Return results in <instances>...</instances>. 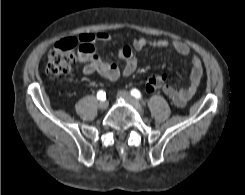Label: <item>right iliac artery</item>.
<instances>
[{"label":"right iliac artery","mask_w":245,"mask_h":195,"mask_svg":"<svg viewBox=\"0 0 245 195\" xmlns=\"http://www.w3.org/2000/svg\"><path fill=\"white\" fill-rule=\"evenodd\" d=\"M105 97H106V94L103 90L98 91V93H97V99L98 100H104Z\"/></svg>","instance_id":"82829eb1"}]
</instances>
